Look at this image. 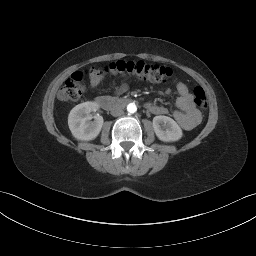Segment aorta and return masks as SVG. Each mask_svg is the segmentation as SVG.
<instances>
[{
  "label": "aorta",
  "mask_w": 256,
  "mask_h": 256,
  "mask_svg": "<svg viewBox=\"0 0 256 256\" xmlns=\"http://www.w3.org/2000/svg\"><path fill=\"white\" fill-rule=\"evenodd\" d=\"M127 111L129 113H135L137 111V107L135 105V103H130L127 105Z\"/></svg>",
  "instance_id": "1"
}]
</instances>
